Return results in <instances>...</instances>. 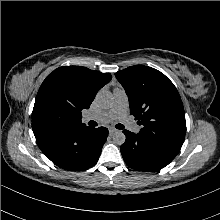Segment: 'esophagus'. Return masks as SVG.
I'll list each match as a JSON object with an SVG mask.
<instances>
[{"instance_id":"1","label":"esophagus","mask_w":220,"mask_h":220,"mask_svg":"<svg viewBox=\"0 0 220 220\" xmlns=\"http://www.w3.org/2000/svg\"><path fill=\"white\" fill-rule=\"evenodd\" d=\"M115 132H117L116 129H114V128H109V134H110V135L114 134Z\"/></svg>"}]
</instances>
